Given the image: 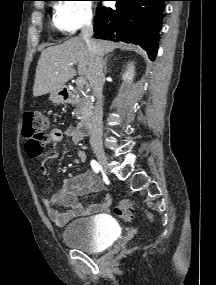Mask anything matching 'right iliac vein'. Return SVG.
Segmentation results:
<instances>
[{"label":"right iliac vein","mask_w":216,"mask_h":285,"mask_svg":"<svg viewBox=\"0 0 216 285\" xmlns=\"http://www.w3.org/2000/svg\"><path fill=\"white\" fill-rule=\"evenodd\" d=\"M94 153L98 159V162L100 164V166L102 167L103 171L106 172L107 171V167H108V161H107V157L103 151V149L96 147L94 148Z\"/></svg>","instance_id":"63e3f726"}]
</instances>
